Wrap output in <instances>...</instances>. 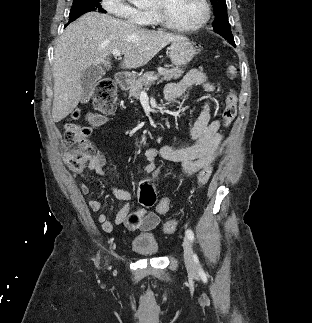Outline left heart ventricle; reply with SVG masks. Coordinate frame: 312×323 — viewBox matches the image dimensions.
<instances>
[{
    "label": "left heart ventricle",
    "mask_w": 312,
    "mask_h": 323,
    "mask_svg": "<svg viewBox=\"0 0 312 323\" xmlns=\"http://www.w3.org/2000/svg\"><path fill=\"white\" fill-rule=\"evenodd\" d=\"M162 13L173 22H193L194 18H205V7L202 0H166Z\"/></svg>",
    "instance_id": "obj_1"
}]
</instances>
